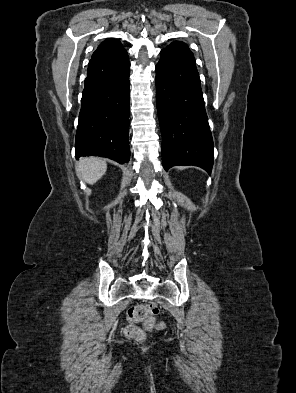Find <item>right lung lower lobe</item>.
I'll return each instance as SVG.
<instances>
[{
  "label": "right lung lower lobe",
  "mask_w": 296,
  "mask_h": 393,
  "mask_svg": "<svg viewBox=\"0 0 296 393\" xmlns=\"http://www.w3.org/2000/svg\"><path fill=\"white\" fill-rule=\"evenodd\" d=\"M129 75L126 50H96L89 62L76 132V158L100 156L129 161Z\"/></svg>",
  "instance_id": "right-lung-lower-lobe-1"
}]
</instances>
